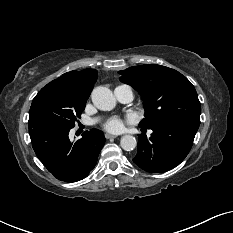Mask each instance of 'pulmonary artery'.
I'll return each instance as SVG.
<instances>
[{
	"label": "pulmonary artery",
	"instance_id": "pulmonary-artery-1",
	"mask_svg": "<svg viewBox=\"0 0 233 233\" xmlns=\"http://www.w3.org/2000/svg\"><path fill=\"white\" fill-rule=\"evenodd\" d=\"M114 95L119 102L128 103L133 99V90L128 85H120L115 88ZM96 120L85 121L84 124H94Z\"/></svg>",
	"mask_w": 233,
	"mask_h": 233
}]
</instances>
